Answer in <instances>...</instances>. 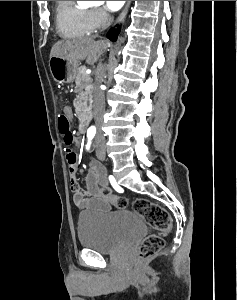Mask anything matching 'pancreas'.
Here are the masks:
<instances>
[{"label":"pancreas","mask_w":237,"mask_h":300,"mask_svg":"<svg viewBox=\"0 0 237 300\" xmlns=\"http://www.w3.org/2000/svg\"><path fill=\"white\" fill-rule=\"evenodd\" d=\"M76 87H92V79L90 75H87L85 67H79L75 77ZM90 97L87 95V91L82 95H76V99L73 101L75 107V113L80 119H88L90 113L88 109Z\"/></svg>","instance_id":"cf45deb5"}]
</instances>
